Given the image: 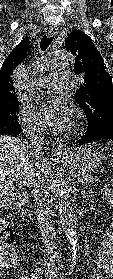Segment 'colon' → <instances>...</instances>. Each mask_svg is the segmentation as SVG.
I'll list each match as a JSON object with an SVG mask.
<instances>
[{"label":"colon","mask_w":113,"mask_h":279,"mask_svg":"<svg viewBox=\"0 0 113 279\" xmlns=\"http://www.w3.org/2000/svg\"><path fill=\"white\" fill-rule=\"evenodd\" d=\"M14 257L13 245L8 232V225L0 218V266L4 260H11Z\"/></svg>","instance_id":"5ec220e1"}]
</instances>
